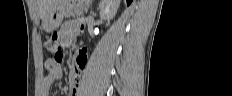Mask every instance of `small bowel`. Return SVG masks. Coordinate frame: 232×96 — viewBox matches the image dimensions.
Returning a JSON list of instances; mask_svg holds the SVG:
<instances>
[{
	"instance_id": "c3829d8e",
	"label": "small bowel",
	"mask_w": 232,
	"mask_h": 96,
	"mask_svg": "<svg viewBox=\"0 0 232 96\" xmlns=\"http://www.w3.org/2000/svg\"><path fill=\"white\" fill-rule=\"evenodd\" d=\"M82 20H87V15H85V11H78V19L68 20L63 23L57 33L61 46L69 43H82V38H76L78 35H81L82 27H86L87 25ZM86 65V53L84 51H78L74 56L73 69L69 78V96L79 95V84ZM61 77L62 71L60 68L56 72L47 74L41 81L40 93L43 96L48 95L51 86L55 81L61 79Z\"/></svg>"
}]
</instances>
